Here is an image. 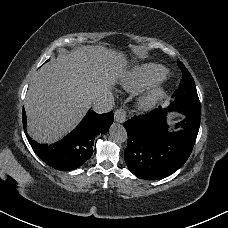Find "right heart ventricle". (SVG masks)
I'll list each match as a JSON object with an SVG mask.
<instances>
[{"mask_svg": "<svg viewBox=\"0 0 228 228\" xmlns=\"http://www.w3.org/2000/svg\"><path fill=\"white\" fill-rule=\"evenodd\" d=\"M164 76V69L160 67H153L149 71L143 73L141 77H139L138 86L142 87L145 85L152 84L162 79Z\"/></svg>", "mask_w": 228, "mask_h": 228, "instance_id": "1", "label": "right heart ventricle"}]
</instances>
